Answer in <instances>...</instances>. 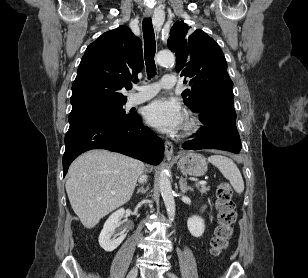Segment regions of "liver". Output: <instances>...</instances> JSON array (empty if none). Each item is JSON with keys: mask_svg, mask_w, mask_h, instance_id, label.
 Returning a JSON list of instances; mask_svg holds the SVG:
<instances>
[{"mask_svg": "<svg viewBox=\"0 0 308 278\" xmlns=\"http://www.w3.org/2000/svg\"><path fill=\"white\" fill-rule=\"evenodd\" d=\"M144 164L107 150L81 154L70 166L66 191L75 214L86 228L124 205L134 192Z\"/></svg>", "mask_w": 308, "mask_h": 278, "instance_id": "6515ba94", "label": "liver"}]
</instances>
